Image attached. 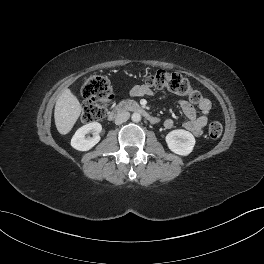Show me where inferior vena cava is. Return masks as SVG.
Returning a JSON list of instances; mask_svg holds the SVG:
<instances>
[{
	"instance_id": "1",
	"label": "inferior vena cava",
	"mask_w": 264,
	"mask_h": 264,
	"mask_svg": "<svg viewBox=\"0 0 264 264\" xmlns=\"http://www.w3.org/2000/svg\"><path fill=\"white\" fill-rule=\"evenodd\" d=\"M129 118H130V113L127 111H123V112L117 114V116L115 118V124L120 125V124L126 122Z\"/></svg>"
}]
</instances>
